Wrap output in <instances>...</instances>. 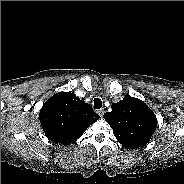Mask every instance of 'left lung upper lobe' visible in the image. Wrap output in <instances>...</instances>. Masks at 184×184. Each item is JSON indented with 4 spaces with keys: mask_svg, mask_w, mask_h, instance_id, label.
Returning a JSON list of instances; mask_svg holds the SVG:
<instances>
[{
    "mask_svg": "<svg viewBox=\"0 0 184 184\" xmlns=\"http://www.w3.org/2000/svg\"><path fill=\"white\" fill-rule=\"evenodd\" d=\"M112 111L104 119L113 129L116 139L127 148L147 144L157 126L153 111L141 100L126 96L111 105Z\"/></svg>",
    "mask_w": 184,
    "mask_h": 184,
    "instance_id": "1",
    "label": "left lung upper lobe"
}]
</instances>
